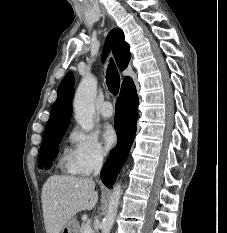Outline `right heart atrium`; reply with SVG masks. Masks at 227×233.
Masks as SVG:
<instances>
[{"mask_svg": "<svg viewBox=\"0 0 227 233\" xmlns=\"http://www.w3.org/2000/svg\"><path fill=\"white\" fill-rule=\"evenodd\" d=\"M70 144L65 160L67 169L78 175H88L100 168L105 151L96 135L74 128L69 136Z\"/></svg>", "mask_w": 227, "mask_h": 233, "instance_id": "right-heart-atrium-1", "label": "right heart atrium"}]
</instances>
